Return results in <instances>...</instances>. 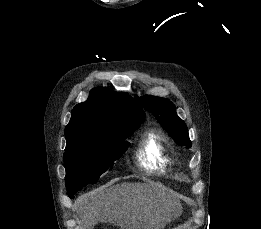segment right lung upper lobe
<instances>
[{
	"instance_id": "right-lung-upper-lobe-1",
	"label": "right lung upper lobe",
	"mask_w": 261,
	"mask_h": 229,
	"mask_svg": "<svg viewBox=\"0 0 261 229\" xmlns=\"http://www.w3.org/2000/svg\"><path fill=\"white\" fill-rule=\"evenodd\" d=\"M143 119V110L127 93L94 88L89 98L72 110L71 120L65 128L66 146L82 141L112 139L108 129L140 124Z\"/></svg>"
}]
</instances>
